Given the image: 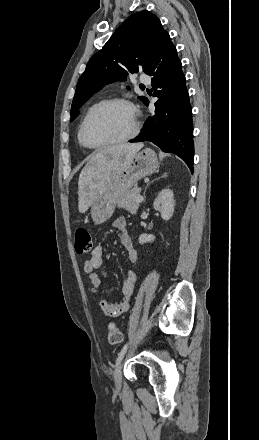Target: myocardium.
Wrapping results in <instances>:
<instances>
[{
    "instance_id": "f54148a6",
    "label": "myocardium",
    "mask_w": 259,
    "mask_h": 440,
    "mask_svg": "<svg viewBox=\"0 0 259 440\" xmlns=\"http://www.w3.org/2000/svg\"><path fill=\"white\" fill-rule=\"evenodd\" d=\"M111 104H123L128 106L132 113H133V128L131 130V132L124 136L123 138H120L118 140H114V141H110V142H106V143H102V144H91L88 142L87 138H86V127L87 124L89 122V120L91 119V117L100 109L111 105ZM140 131V120H139V114L137 111V108L135 107V105L125 99V98H121V97H114V98H109V99H105L102 100L100 102H98L97 104H95L85 115V117L83 118L81 125H80V140L82 142V144L84 145V147L91 149V150H99V149H103L106 147H110V146H114V145H119V144H123L125 142H128L130 140H132L133 138H135L138 133Z\"/></svg>"
}]
</instances>
